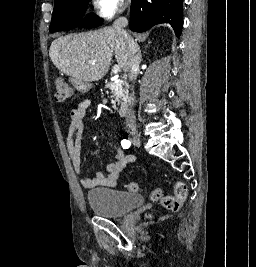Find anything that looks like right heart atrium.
Instances as JSON below:
<instances>
[{
    "label": "right heart atrium",
    "mask_w": 256,
    "mask_h": 267,
    "mask_svg": "<svg viewBox=\"0 0 256 267\" xmlns=\"http://www.w3.org/2000/svg\"><path fill=\"white\" fill-rule=\"evenodd\" d=\"M115 14H116V12H113L111 14H104V15H102L101 18H102V20L104 22H108V21L112 20L115 17Z\"/></svg>",
    "instance_id": "right-heart-atrium-1"
}]
</instances>
